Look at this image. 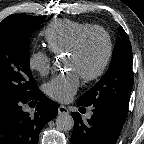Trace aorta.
<instances>
[{
    "instance_id": "762f6f07",
    "label": "aorta",
    "mask_w": 144,
    "mask_h": 144,
    "mask_svg": "<svg viewBox=\"0 0 144 144\" xmlns=\"http://www.w3.org/2000/svg\"><path fill=\"white\" fill-rule=\"evenodd\" d=\"M56 125L61 131H69L73 129L74 119L69 113H62L57 116Z\"/></svg>"
}]
</instances>
